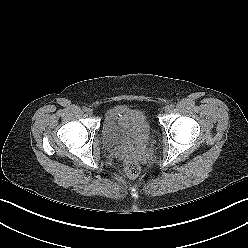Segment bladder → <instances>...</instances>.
Segmentation results:
<instances>
[{"label": "bladder", "mask_w": 248, "mask_h": 248, "mask_svg": "<svg viewBox=\"0 0 248 248\" xmlns=\"http://www.w3.org/2000/svg\"><path fill=\"white\" fill-rule=\"evenodd\" d=\"M153 132L154 126L146 109L116 107L106 114L101 137L105 145L116 147L131 137L146 140Z\"/></svg>", "instance_id": "bladder-1"}]
</instances>
